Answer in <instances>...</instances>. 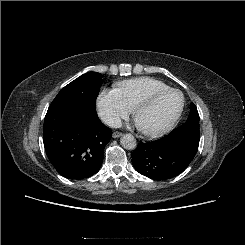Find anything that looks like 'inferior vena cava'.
Instances as JSON below:
<instances>
[{
    "label": "inferior vena cava",
    "mask_w": 245,
    "mask_h": 245,
    "mask_svg": "<svg viewBox=\"0 0 245 245\" xmlns=\"http://www.w3.org/2000/svg\"><path fill=\"white\" fill-rule=\"evenodd\" d=\"M104 122L112 128H120L122 126L121 119L117 116H108L104 118Z\"/></svg>",
    "instance_id": "1"
}]
</instances>
